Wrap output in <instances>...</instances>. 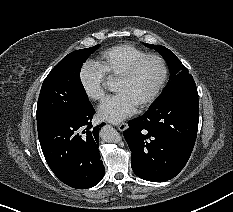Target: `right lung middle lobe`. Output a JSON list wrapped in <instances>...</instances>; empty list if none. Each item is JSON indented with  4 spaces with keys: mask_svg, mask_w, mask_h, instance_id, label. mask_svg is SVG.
<instances>
[{
    "mask_svg": "<svg viewBox=\"0 0 233 212\" xmlns=\"http://www.w3.org/2000/svg\"><path fill=\"white\" fill-rule=\"evenodd\" d=\"M98 47L96 45L68 54L47 75L38 99V132L62 118L73 117L92 106L81 83L80 70Z\"/></svg>",
    "mask_w": 233,
    "mask_h": 212,
    "instance_id": "dd1d6c3e",
    "label": "right lung middle lobe"
}]
</instances>
